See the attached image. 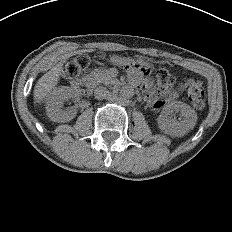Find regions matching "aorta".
<instances>
[{
  "label": "aorta",
  "instance_id": "762f6f07",
  "mask_svg": "<svg viewBox=\"0 0 232 232\" xmlns=\"http://www.w3.org/2000/svg\"><path fill=\"white\" fill-rule=\"evenodd\" d=\"M135 94L134 88L132 86H123L120 89V95L124 99H131Z\"/></svg>",
  "mask_w": 232,
  "mask_h": 232
}]
</instances>
